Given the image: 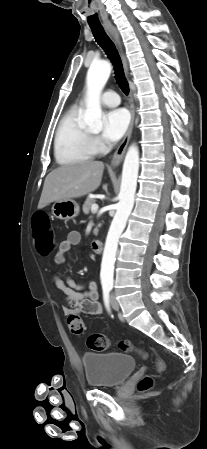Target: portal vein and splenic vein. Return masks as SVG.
Masks as SVG:
<instances>
[{
    "instance_id": "18ae733b",
    "label": "portal vein and splenic vein",
    "mask_w": 207,
    "mask_h": 449,
    "mask_svg": "<svg viewBox=\"0 0 207 449\" xmlns=\"http://www.w3.org/2000/svg\"><path fill=\"white\" fill-rule=\"evenodd\" d=\"M91 211L93 213L97 212L98 211V205L97 204H93L92 207H91Z\"/></svg>"
}]
</instances>
